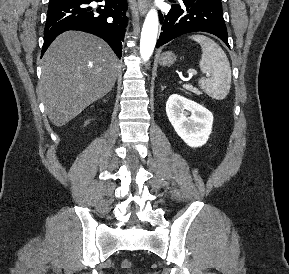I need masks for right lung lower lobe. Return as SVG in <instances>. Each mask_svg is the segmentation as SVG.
<instances>
[{
  "label": "right lung lower lobe",
  "mask_w": 289,
  "mask_h": 274,
  "mask_svg": "<svg viewBox=\"0 0 289 274\" xmlns=\"http://www.w3.org/2000/svg\"><path fill=\"white\" fill-rule=\"evenodd\" d=\"M92 2H103V5L93 7ZM126 8V0H50L42 55L62 32L80 30L104 39L121 58Z\"/></svg>",
  "instance_id": "right-lung-lower-lobe-1"
}]
</instances>
